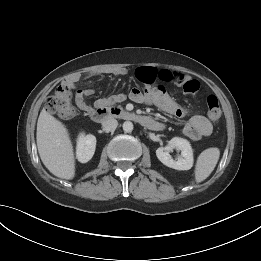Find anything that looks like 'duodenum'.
I'll list each match as a JSON object with an SVG mask.
<instances>
[{
  "mask_svg": "<svg viewBox=\"0 0 261 261\" xmlns=\"http://www.w3.org/2000/svg\"><path fill=\"white\" fill-rule=\"evenodd\" d=\"M111 116L121 117L126 120L138 122L142 126L151 130H161L162 125L147 115H140L128 111H124L118 106H100L92 113V118L97 121H103Z\"/></svg>",
  "mask_w": 261,
  "mask_h": 261,
  "instance_id": "410a0bca",
  "label": "duodenum"
}]
</instances>
